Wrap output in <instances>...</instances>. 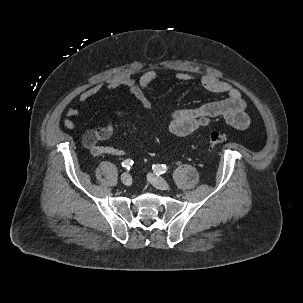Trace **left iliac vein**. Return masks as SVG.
<instances>
[{
  "instance_id": "left-iliac-vein-1",
  "label": "left iliac vein",
  "mask_w": 303,
  "mask_h": 303,
  "mask_svg": "<svg viewBox=\"0 0 303 303\" xmlns=\"http://www.w3.org/2000/svg\"><path fill=\"white\" fill-rule=\"evenodd\" d=\"M148 180L157 189L168 190L170 188L169 183L164 178H162L160 176H156V175H153V174H148Z\"/></svg>"
}]
</instances>
